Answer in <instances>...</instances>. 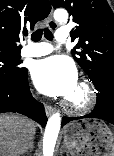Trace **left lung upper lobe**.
<instances>
[{"label":"left lung upper lobe","mask_w":114,"mask_h":156,"mask_svg":"<svg viewBox=\"0 0 114 156\" xmlns=\"http://www.w3.org/2000/svg\"><path fill=\"white\" fill-rule=\"evenodd\" d=\"M77 23L71 32L77 45L71 53L96 88L114 83V14L106 0H52Z\"/></svg>","instance_id":"obj_1"}]
</instances>
